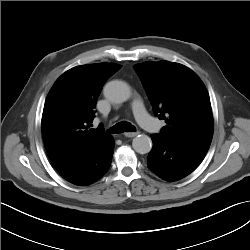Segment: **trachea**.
Listing matches in <instances>:
<instances>
[{
  "label": "trachea",
  "instance_id": "3493384b",
  "mask_svg": "<svg viewBox=\"0 0 250 250\" xmlns=\"http://www.w3.org/2000/svg\"><path fill=\"white\" fill-rule=\"evenodd\" d=\"M135 127L129 122H120L108 130L109 133L119 134L123 132H135Z\"/></svg>",
  "mask_w": 250,
  "mask_h": 250
}]
</instances>
